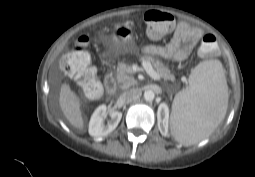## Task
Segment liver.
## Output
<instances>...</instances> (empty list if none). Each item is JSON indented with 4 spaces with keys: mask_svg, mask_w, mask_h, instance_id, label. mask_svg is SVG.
Wrapping results in <instances>:
<instances>
[{
    "mask_svg": "<svg viewBox=\"0 0 255 177\" xmlns=\"http://www.w3.org/2000/svg\"><path fill=\"white\" fill-rule=\"evenodd\" d=\"M59 105L70 124L80 130L83 129L84 121L80 110V100L66 83L62 84L60 89Z\"/></svg>",
    "mask_w": 255,
    "mask_h": 177,
    "instance_id": "obj_1",
    "label": "liver"
}]
</instances>
